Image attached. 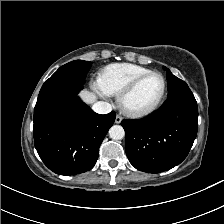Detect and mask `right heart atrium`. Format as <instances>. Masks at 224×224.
Wrapping results in <instances>:
<instances>
[{
	"label": "right heart atrium",
	"instance_id": "right-heart-atrium-1",
	"mask_svg": "<svg viewBox=\"0 0 224 224\" xmlns=\"http://www.w3.org/2000/svg\"><path fill=\"white\" fill-rule=\"evenodd\" d=\"M93 87H94L95 90H96L97 92H99L100 94H102V95H108V94H106L105 92H103V91L101 90V88H100L98 82L94 83V84H93Z\"/></svg>",
	"mask_w": 224,
	"mask_h": 224
}]
</instances>
